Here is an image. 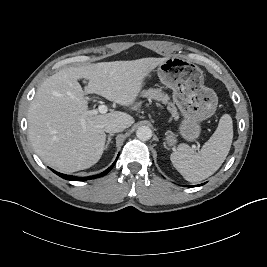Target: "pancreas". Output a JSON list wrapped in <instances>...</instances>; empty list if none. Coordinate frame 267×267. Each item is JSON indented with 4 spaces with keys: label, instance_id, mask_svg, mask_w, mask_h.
Returning a JSON list of instances; mask_svg holds the SVG:
<instances>
[{
    "label": "pancreas",
    "instance_id": "cf45deb5",
    "mask_svg": "<svg viewBox=\"0 0 267 267\" xmlns=\"http://www.w3.org/2000/svg\"><path fill=\"white\" fill-rule=\"evenodd\" d=\"M142 97H146L148 99H154L163 104H167L168 110L171 112L172 117L175 119L179 118L176 107L172 102H170L169 96L166 93H164L161 89L150 88L148 90H144L142 92Z\"/></svg>",
    "mask_w": 267,
    "mask_h": 267
}]
</instances>
